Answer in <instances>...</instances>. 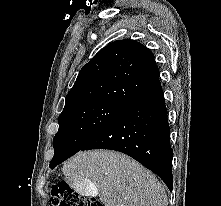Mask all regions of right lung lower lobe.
<instances>
[{
    "label": "right lung lower lobe",
    "mask_w": 221,
    "mask_h": 206,
    "mask_svg": "<svg viewBox=\"0 0 221 206\" xmlns=\"http://www.w3.org/2000/svg\"><path fill=\"white\" fill-rule=\"evenodd\" d=\"M110 149L134 158L172 191L170 129L161 83L140 95L81 150Z\"/></svg>",
    "instance_id": "right-lung-lower-lobe-1"
}]
</instances>
